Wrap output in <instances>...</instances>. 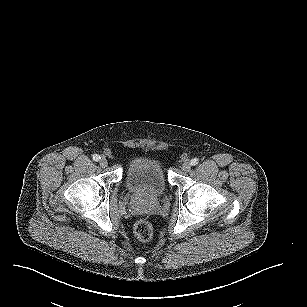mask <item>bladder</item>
Segmentation results:
<instances>
[{
  "instance_id": "obj_1",
  "label": "bladder",
  "mask_w": 307,
  "mask_h": 307,
  "mask_svg": "<svg viewBox=\"0 0 307 307\" xmlns=\"http://www.w3.org/2000/svg\"><path fill=\"white\" fill-rule=\"evenodd\" d=\"M127 189L147 196L159 197L166 193L167 181L157 158L138 155L126 167Z\"/></svg>"
}]
</instances>
